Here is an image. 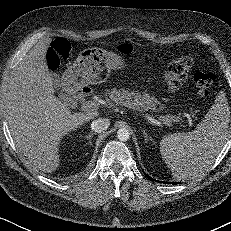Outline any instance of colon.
Masks as SVG:
<instances>
[{"label": "colon", "mask_w": 231, "mask_h": 231, "mask_svg": "<svg viewBox=\"0 0 231 231\" xmlns=\"http://www.w3.org/2000/svg\"><path fill=\"white\" fill-rule=\"evenodd\" d=\"M72 52L70 43L64 38L54 40L47 50L46 61L51 70H57L62 63L67 60ZM118 52L123 55H135L147 61V57L134 50L129 44H121ZM193 66V57L184 55L173 60L167 71L166 81L171 90H177L181 87L183 80ZM192 82L196 93L201 97H207L215 84V77L212 73L198 71L192 77Z\"/></svg>", "instance_id": "colon-1"}]
</instances>
